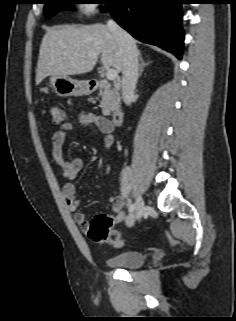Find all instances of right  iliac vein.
Segmentation results:
<instances>
[{
    "mask_svg": "<svg viewBox=\"0 0 236 321\" xmlns=\"http://www.w3.org/2000/svg\"><path fill=\"white\" fill-rule=\"evenodd\" d=\"M146 207L143 201V198L140 194L136 196L135 199V211L134 213L128 218L127 223L131 224L134 220H139L143 214L145 213Z\"/></svg>",
    "mask_w": 236,
    "mask_h": 321,
    "instance_id": "63e3f726",
    "label": "right iliac vein"
}]
</instances>
